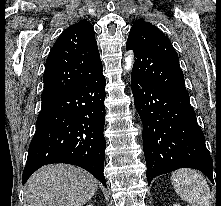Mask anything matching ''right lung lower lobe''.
I'll return each instance as SVG.
<instances>
[{"instance_id":"right-lung-lower-lobe-1","label":"right lung lower lobe","mask_w":221,"mask_h":206,"mask_svg":"<svg viewBox=\"0 0 221 206\" xmlns=\"http://www.w3.org/2000/svg\"><path fill=\"white\" fill-rule=\"evenodd\" d=\"M105 84L101 71L76 87L42 100L23 184L43 165L68 163L86 169L106 187Z\"/></svg>"}]
</instances>
